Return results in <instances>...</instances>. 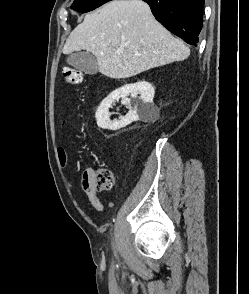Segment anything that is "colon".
Segmentation results:
<instances>
[{
	"instance_id": "obj_1",
	"label": "colon",
	"mask_w": 249,
	"mask_h": 294,
	"mask_svg": "<svg viewBox=\"0 0 249 294\" xmlns=\"http://www.w3.org/2000/svg\"><path fill=\"white\" fill-rule=\"evenodd\" d=\"M62 75L70 85H80L84 80L83 72L71 66H63ZM84 174L90 178L91 183L99 190H110L114 186V176L108 169H98L95 172L85 171Z\"/></svg>"
}]
</instances>
